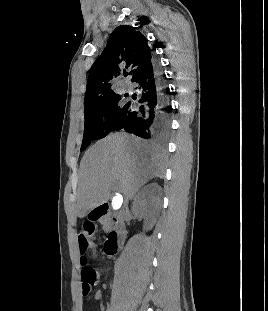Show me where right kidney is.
Wrapping results in <instances>:
<instances>
[{"label": "right kidney", "instance_id": "ca27d5eb", "mask_svg": "<svg viewBox=\"0 0 268 311\" xmlns=\"http://www.w3.org/2000/svg\"><path fill=\"white\" fill-rule=\"evenodd\" d=\"M162 188L157 183L146 185L138 192L133 203L134 215L144 219V230L155 225L162 207Z\"/></svg>", "mask_w": 268, "mask_h": 311}]
</instances>
